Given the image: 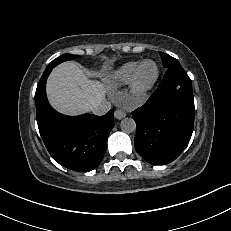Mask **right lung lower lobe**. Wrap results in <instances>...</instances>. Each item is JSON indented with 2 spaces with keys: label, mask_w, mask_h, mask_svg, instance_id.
I'll return each instance as SVG.
<instances>
[{
  "label": "right lung lower lobe",
  "mask_w": 231,
  "mask_h": 231,
  "mask_svg": "<svg viewBox=\"0 0 231 231\" xmlns=\"http://www.w3.org/2000/svg\"><path fill=\"white\" fill-rule=\"evenodd\" d=\"M55 67L49 64L36 89L37 123L50 155L64 167L86 172L102 161L107 138L114 126L113 110L104 116H65L55 111L46 97V80Z\"/></svg>",
  "instance_id": "98d812e1"
}]
</instances>
